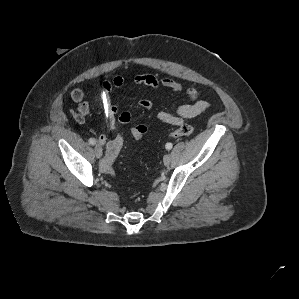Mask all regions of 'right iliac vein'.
I'll return each mask as SVG.
<instances>
[{
	"label": "right iliac vein",
	"instance_id": "right-iliac-vein-1",
	"mask_svg": "<svg viewBox=\"0 0 299 299\" xmlns=\"http://www.w3.org/2000/svg\"><path fill=\"white\" fill-rule=\"evenodd\" d=\"M94 152H95V155L97 158H101L102 157V148L100 147V145H96L95 148H94Z\"/></svg>",
	"mask_w": 299,
	"mask_h": 299
}]
</instances>
